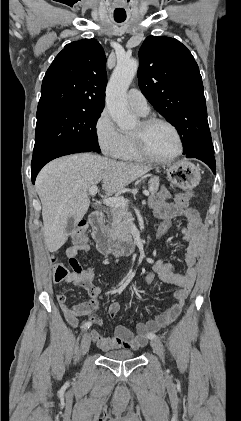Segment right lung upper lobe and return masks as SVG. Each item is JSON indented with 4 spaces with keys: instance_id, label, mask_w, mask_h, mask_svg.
<instances>
[{
    "instance_id": "obj_1",
    "label": "right lung upper lobe",
    "mask_w": 241,
    "mask_h": 421,
    "mask_svg": "<svg viewBox=\"0 0 241 421\" xmlns=\"http://www.w3.org/2000/svg\"><path fill=\"white\" fill-rule=\"evenodd\" d=\"M106 57L95 39L67 44L47 70L38 110H103L107 84Z\"/></svg>"
}]
</instances>
